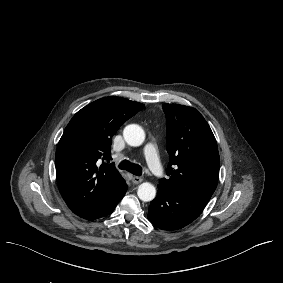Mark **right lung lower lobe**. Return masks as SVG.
Here are the masks:
<instances>
[{
    "label": "right lung lower lobe",
    "instance_id": "98d812e1",
    "mask_svg": "<svg viewBox=\"0 0 283 283\" xmlns=\"http://www.w3.org/2000/svg\"><path fill=\"white\" fill-rule=\"evenodd\" d=\"M127 188H128V186L125 185L124 188H123L122 194L118 198H116L111 204H109L107 207H105L104 209H102V210H100V211H98L94 214L84 216L82 218L87 219V220H94V219H98V218H101L103 216H106V215L112 213L113 210L115 209L116 205L120 202V200L125 195Z\"/></svg>",
    "mask_w": 283,
    "mask_h": 283
}]
</instances>
